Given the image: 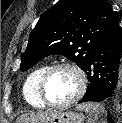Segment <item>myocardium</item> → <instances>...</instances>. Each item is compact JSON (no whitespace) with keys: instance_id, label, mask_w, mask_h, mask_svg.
Here are the masks:
<instances>
[{"instance_id":"myocardium-1","label":"myocardium","mask_w":122,"mask_h":123,"mask_svg":"<svg viewBox=\"0 0 122 123\" xmlns=\"http://www.w3.org/2000/svg\"><path fill=\"white\" fill-rule=\"evenodd\" d=\"M64 68L71 69L77 74L78 79H79L78 90L74 94V96H72L70 99H68L64 102H61V103H54V102L49 101L48 98L46 97V93H45L46 84H47L50 76L55 71H57L59 69H64ZM86 88H87V76H86L85 72L82 70V68H80L78 65H76L74 63L63 62V63H57L54 65H51L46 69V71L43 73V75L39 81L38 95H39L40 100L47 107L65 108V107L71 106L72 104H74L78 100H80L81 97L84 95Z\"/></svg>"}]
</instances>
